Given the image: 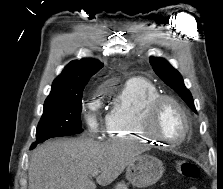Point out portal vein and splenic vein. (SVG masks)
<instances>
[{"instance_id":"portal-vein-and-splenic-vein-1","label":"portal vein and splenic vein","mask_w":223,"mask_h":189,"mask_svg":"<svg viewBox=\"0 0 223 189\" xmlns=\"http://www.w3.org/2000/svg\"><path fill=\"white\" fill-rule=\"evenodd\" d=\"M99 170H94L92 173H91V176L92 177H96L98 174H99Z\"/></svg>"}]
</instances>
